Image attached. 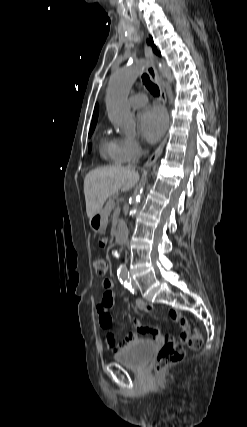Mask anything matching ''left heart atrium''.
Listing matches in <instances>:
<instances>
[{"label":"left heart atrium","instance_id":"1","mask_svg":"<svg viewBox=\"0 0 247 427\" xmlns=\"http://www.w3.org/2000/svg\"><path fill=\"white\" fill-rule=\"evenodd\" d=\"M167 126L164 112L158 107L145 109L139 117V127L142 136L148 142H156L163 135Z\"/></svg>","mask_w":247,"mask_h":427}]
</instances>
